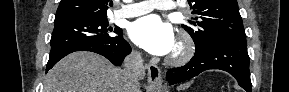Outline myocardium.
<instances>
[{"label": "myocardium", "mask_w": 289, "mask_h": 92, "mask_svg": "<svg viewBox=\"0 0 289 92\" xmlns=\"http://www.w3.org/2000/svg\"><path fill=\"white\" fill-rule=\"evenodd\" d=\"M194 51L195 46L192 38L187 33L182 32L168 62L172 65H182L192 58Z\"/></svg>", "instance_id": "myocardium-1"}]
</instances>
